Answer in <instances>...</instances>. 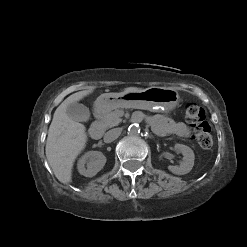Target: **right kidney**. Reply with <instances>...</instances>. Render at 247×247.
<instances>
[{
    "instance_id": "right-kidney-1",
    "label": "right kidney",
    "mask_w": 247,
    "mask_h": 247,
    "mask_svg": "<svg viewBox=\"0 0 247 247\" xmlns=\"http://www.w3.org/2000/svg\"><path fill=\"white\" fill-rule=\"evenodd\" d=\"M105 163L106 157L102 152L89 151L79 159L77 168L81 175L93 177L104 167Z\"/></svg>"
}]
</instances>
